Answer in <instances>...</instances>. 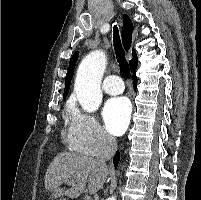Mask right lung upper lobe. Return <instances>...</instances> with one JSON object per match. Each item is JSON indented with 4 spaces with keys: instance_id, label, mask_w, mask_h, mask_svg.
<instances>
[{
    "instance_id": "obj_1",
    "label": "right lung upper lobe",
    "mask_w": 201,
    "mask_h": 200,
    "mask_svg": "<svg viewBox=\"0 0 201 200\" xmlns=\"http://www.w3.org/2000/svg\"><path fill=\"white\" fill-rule=\"evenodd\" d=\"M132 32H133L132 21L130 20V18L127 15H124L123 16V27H122V42H123V45H124V48L126 51H128L131 47ZM132 53H133V58L129 64H130L132 71L135 72L137 65H138V58L136 56L134 49H132ZM78 54H79L78 52H75L70 59L69 67L67 69V74H66V79H65V89H64L63 98H65L67 96L68 91L70 89V83H71V79L73 76L75 64L78 59Z\"/></svg>"
}]
</instances>
